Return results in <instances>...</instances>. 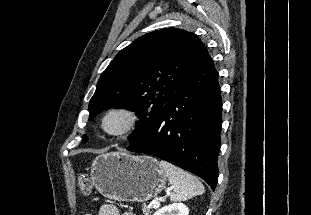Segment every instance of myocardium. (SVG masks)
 I'll return each instance as SVG.
<instances>
[{"label":"myocardium","instance_id":"myocardium-1","mask_svg":"<svg viewBox=\"0 0 311 215\" xmlns=\"http://www.w3.org/2000/svg\"><path fill=\"white\" fill-rule=\"evenodd\" d=\"M119 115L124 118V124L116 130H109L106 127V121L109 117ZM139 122V116L137 113L127 107L115 106L108 108L101 116L100 119V129L101 131L109 137H123L131 133L137 126Z\"/></svg>","mask_w":311,"mask_h":215}]
</instances>
